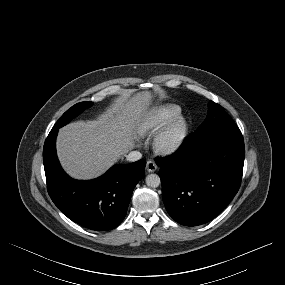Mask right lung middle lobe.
<instances>
[{
    "instance_id": "1",
    "label": "right lung middle lobe",
    "mask_w": 285,
    "mask_h": 285,
    "mask_svg": "<svg viewBox=\"0 0 285 285\" xmlns=\"http://www.w3.org/2000/svg\"><path fill=\"white\" fill-rule=\"evenodd\" d=\"M91 105H93L92 102H81L75 104L61 116V118L57 121L54 127L60 128L66 125L69 121L72 120V118L80 114L84 109L90 107Z\"/></svg>"
}]
</instances>
